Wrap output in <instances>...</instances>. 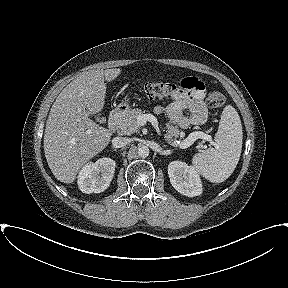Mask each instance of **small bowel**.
Returning <instances> with one entry per match:
<instances>
[{
  "mask_svg": "<svg viewBox=\"0 0 288 288\" xmlns=\"http://www.w3.org/2000/svg\"><path fill=\"white\" fill-rule=\"evenodd\" d=\"M181 84L184 88L172 96L171 103L167 106L156 105L154 112L166 113L174 124L183 129L190 124H203L207 119L204 83L195 77H187L181 81ZM184 110L189 112V116L182 114Z\"/></svg>",
  "mask_w": 288,
  "mask_h": 288,
  "instance_id": "1",
  "label": "small bowel"
}]
</instances>
